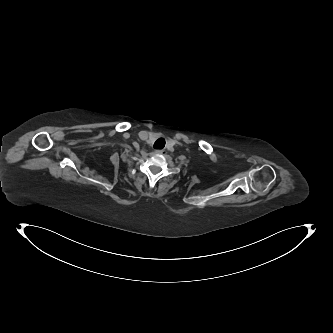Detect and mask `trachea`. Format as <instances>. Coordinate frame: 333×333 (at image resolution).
<instances>
[{"mask_svg":"<svg viewBox=\"0 0 333 333\" xmlns=\"http://www.w3.org/2000/svg\"><path fill=\"white\" fill-rule=\"evenodd\" d=\"M165 147V140L163 138H159L154 143L155 149H163Z\"/></svg>","mask_w":333,"mask_h":333,"instance_id":"1","label":"trachea"}]
</instances>
